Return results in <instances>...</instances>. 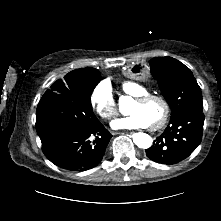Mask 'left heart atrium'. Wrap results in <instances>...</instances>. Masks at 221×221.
<instances>
[{
	"label": "left heart atrium",
	"instance_id": "39dd6f15",
	"mask_svg": "<svg viewBox=\"0 0 221 221\" xmlns=\"http://www.w3.org/2000/svg\"><path fill=\"white\" fill-rule=\"evenodd\" d=\"M111 125L114 129H138L149 126L147 120L138 113H131L126 117L117 119Z\"/></svg>",
	"mask_w": 221,
	"mask_h": 221
}]
</instances>
